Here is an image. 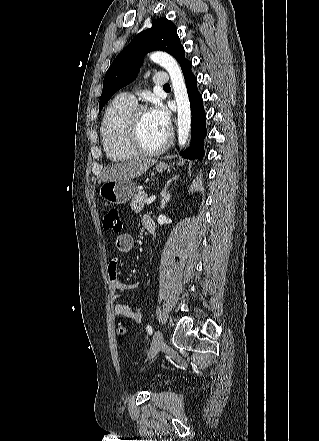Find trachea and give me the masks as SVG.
I'll list each match as a JSON object with an SVG mask.
<instances>
[{
	"instance_id": "3493384b",
	"label": "trachea",
	"mask_w": 319,
	"mask_h": 441,
	"mask_svg": "<svg viewBox=\"0 0 319 441\" xmlns=\"http://www.w3.org/2000/svg\"><path fill=\"white\" fill-rule=\"evenodd\" d=\"M163 88H164V89L170 88V85H169V84H166V85H164Z\"/></svg>"
}]
</instances>
